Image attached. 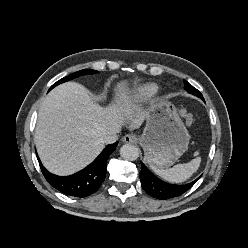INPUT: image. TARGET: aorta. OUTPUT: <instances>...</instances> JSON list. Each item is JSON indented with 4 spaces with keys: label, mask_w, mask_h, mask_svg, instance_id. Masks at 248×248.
I'll return each mask as SVG.
<instances>
[{
    "label": "aorta",
    "mask_w": 248,
    "mask_h": 248,
    "mask_svg": "<svg viewBox=\"0 0 248 248\" xmlns=\"http://www.w3.org/2000/svg\"><path fill=\"white\" fill-rule=\"evenodd\" d=\"M120 155L123 159L135 161L139 157V149L131 144H125L120 148Z\"/></svg>",
    "instance_id": "aorta-1"
}]
</instances>
